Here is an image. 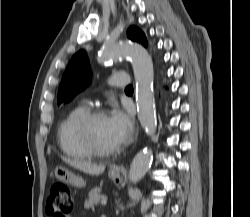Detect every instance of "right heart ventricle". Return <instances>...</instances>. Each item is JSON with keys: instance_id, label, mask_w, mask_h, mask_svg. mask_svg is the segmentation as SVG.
I'll use <instances>...</instances> for the list:
<instances>
[{"instance_id": "e07e8e85", "label": "right heart ventricle", "mask_w": 250, "mask_h": 217, "mask_svg": "<svg viewBox=\"0 0 250 217\" xmlns=\"http://www.w3.org/2000/svg\"><path fill=\"white\" fill-rule=\"evenodd\" d=\"M88 111L84 104L74 106L62 119L57 129V140L61 151L74 159H87L93 155L82 143L77 130L80 119Z\"/></svg>"}]
</instances>
